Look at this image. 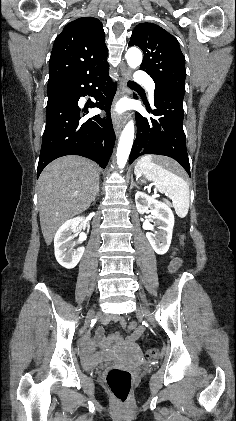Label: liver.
<instances>
[{
  "label": "liver",
  "mask_w": 236,
  "mask_h": 421,
  "mask_svg": "<svg viewBox=\"0 0 236 421\" xmlns=\"http://www.w3.org/2000/svg\"><path fill=\"white\" fill-rule=\"evenodd\" d=\"M155 160L169 162L163 156H155ZM98 178L97 164L84 156L68 154L47 164L37 180L39 217L46 245H51L65 221L90 206Z\"/></svg>",
  "instance_id": "liver-1"
}]
</instances>
